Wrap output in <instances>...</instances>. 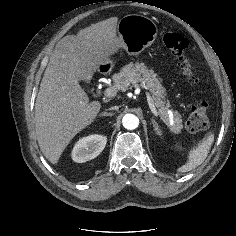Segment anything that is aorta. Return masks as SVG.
<instances>
[{
	"instance_id": "762f6f07",
	"label": "aorta",
	"mask_w": 236,
	"mask_h": 236,
	"mask_svg": "<svg viewBox=\"0 0 236 236\" xmlns=\"http://www.w3.org/2000/svg\"><path fill=\"white\" fill-rule=\"evenodd\" d=\"M122 124L124 128L134 130L139 125V119L134 114H125L122 118Z\"/></svg>"
}]
</instances>
